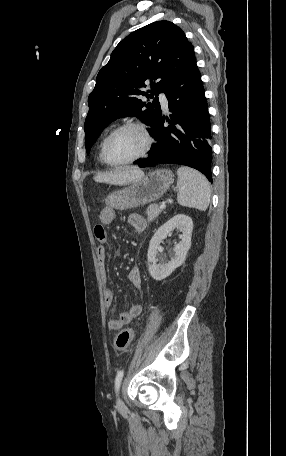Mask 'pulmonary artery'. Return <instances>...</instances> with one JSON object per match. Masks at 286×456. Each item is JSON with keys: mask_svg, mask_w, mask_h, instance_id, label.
<instances>
[{"mask_svg": "<svg viewBox=\"0 0 286 456\" xmlns=\"http://www.w3.org/2000/svg\"><path fill=\"white\" fill-rule=\"evenodd\" d=\"M160 102H161V105L163 107L164 110H167V106H168V101H167V98L164 94H160Z\"/></svg>", "mask_w": 286, "mask_h": 456, "instance_id": "1", "label": "pulmonary artery"}]
</instances>
